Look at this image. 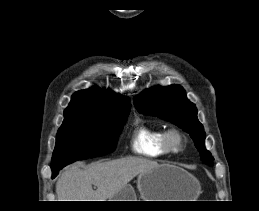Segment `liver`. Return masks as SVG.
Wrapping results in <instances>:
<instances>
[{
    "label": "liver",
    "instance_id": "1",
    "mask_svg": "<svg viewBox=\"0 0 259 211\" xmlns=\"http://www.w3.org/2000/svg\"><path fill=\"white\" fill-rule=\"evenodd\" d=\"M159 166L155 161L137 157L95 162L86 169L72 165L57 180L58 201H106L135 176ZM92 185L97 189L93 190Z\"/></svg>",
    "mask_w": 259,
    "mask_h": 211
}]
</instances>
